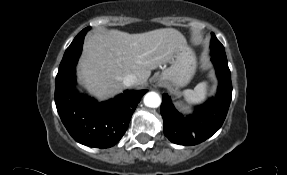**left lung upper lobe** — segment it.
Returning a JSON list of instances; mask_svg holds the SVG:
<instances>
[{"mask_svg": "<svg viewBox=\"0 0 287 175\" xmlns=\"http://www.w3.org/2000/svg\"><path fill=\"white\" fill-rule=\"evenodd\" d=\"M210 48L211 55L227 59L223 45L220 43V41L216 38L214 34H212Z\"/></svg>", "mask_w": 287, "mask_h": 175, "instance_id": "obj_1", "label": "left lung upper lobe"}]
</instances>
